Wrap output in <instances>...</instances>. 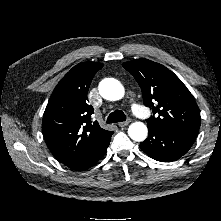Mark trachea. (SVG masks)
Instances as JSON below:
<instances>
[{
	"instance_id": "3493384b",
	"label": "trachea",
	"mask_w": 221,
	"mask_h": 221,
	"mask_svg": "<svg viewBox=\"0 0 221 221\" xmlns=\"http://www.w3.org/2000/svg\"><path fill=\"white\" fill-rule=\"evenodd\" d=\"M123 121H126V115L124 114V112L121 110H115L114 112L110 113L106 123H116Z\"/></svg>"
}]
</instances>
